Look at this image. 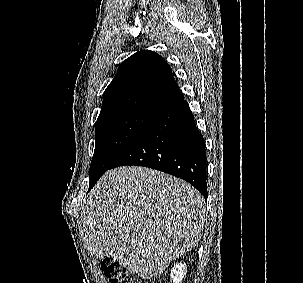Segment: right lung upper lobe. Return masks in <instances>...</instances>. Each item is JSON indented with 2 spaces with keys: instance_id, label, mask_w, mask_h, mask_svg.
Segmentation results:
<instances>
[{
  "instance_id": "right-lung-upper-lobe-1",
  "label": "right lung upper lobe",
  "mask_w": 303,
  "mask_h": 283,
  "mask_svg": "<svg viewBox=\"0 0 303 283\" xmlns=\"http://www.w3.org/2000/svg\"><path fill=\"white\" fill-rule=\"evenodd\" d=\"M182 100L164 58L153 51L140 50L119 66L104 92L97 121L134 113L156 117Z\"/></svg>"
}]
</instances>
